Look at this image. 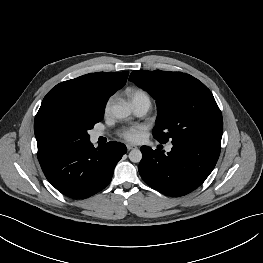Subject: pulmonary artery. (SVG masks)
<instances>
[{
	"instance_id": "obj_1",
	"label": "pulmonary artery",
	"mask_w": 263,
	"mask_h": 263,
	"mask_svg": "<svg viewBox=\"0 0 263 263\" xmlns=\"http://www.w3.org/2000/svg\"><path fill=\"white\" fill-rule=\"evenodd\" d=\"M150 108V104L148 103H140L134 106L135 113L138 116L145 115ZM102 134L100 132H94L92 135L93 140H96L98 137H100ZM166 150L169 152L171 150V145L167 146Z\"/></svg>"
}]
</instances>
